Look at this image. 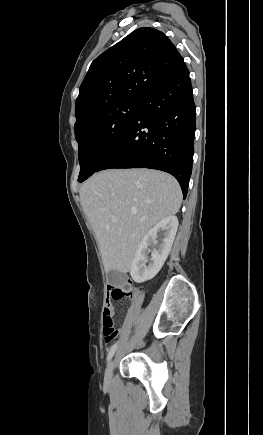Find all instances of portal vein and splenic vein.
I'll use <instances>...</instances> for the list:
<instances>
[{"label": "portal vein and splenic vein", "mask_w": 263, "mask_h": 435, "mask_svg": "<svg viewBox=\"0 0 263 435\" xmlns=\"http://www.w3.org/2000/svg\"><path fill=\"white\" fill-rule=\"evenodd\" d=\"M113 222H114V223H117V219H113Z\"/></svg>", "instance_id": "portal-vein-and-splenic-vein-1"}]
</instances>
